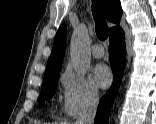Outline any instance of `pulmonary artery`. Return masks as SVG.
I'll use <instances>...</instances> for the list:
<instances>
[{"mask_svg": "<svg viewBox=\"0 0 156 124\" xmlns=\"http://www.w3.org/2000/svg\"><path fill=\"white\" fill-rule=\"evenodd\" d=\"M91 53L96 58H102L104 56V49L100 44H95L91 48Z\"/></svg>", "mask_w": 156, "mask_h": 124, "instance_id": "obj_1", "label": "pulmonary artery"}]
</instances>
